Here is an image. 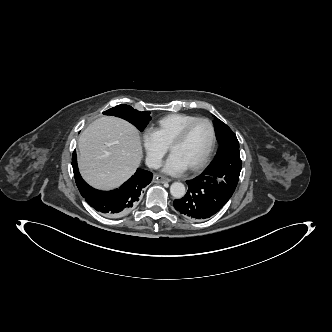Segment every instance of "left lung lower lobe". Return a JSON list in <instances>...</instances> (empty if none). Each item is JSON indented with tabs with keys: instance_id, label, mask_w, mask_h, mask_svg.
<instances>
[{
	"instance_id": "obj_1",
	"label": "left lung lower lobe",
	"mask_w": 332,
	"mask_h": 332,
	"mask_svg": "<svg viewBox=\"0 0 332 332\" xmlns=\"http://www.w3.org/2000/svg\"><path fill=\"white\" fill-rule=\"evenodd\" d=\"M239 154V149L235 150ZM188 191L186 195L174 200L175 209L187 218L205 220L215 215L230 199L224 193L215 189L201 176L186 182Z\"/></svg>"
}]
</instances>
